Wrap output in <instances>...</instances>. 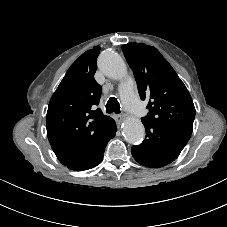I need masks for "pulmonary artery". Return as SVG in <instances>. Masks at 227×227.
Here are the masks:
<instances>
[{
    "label": "pulmonary artery",
    "mask_w": 227,
    "mask_h": 227,
    "mask_svg": "<svg viewBox=\"0 0 227 227\" xmlns=\"http://www.w3.org/2000/svg\"><path fill=\"white\" fill-rule=\"evenodd\" d=\"M120 95L122 97L126 109L130 113L136 116H142L146 113L145 106L138 99V97L133 91V79L131 77H128L120 85Z\"/></svg>",
    "instance_id": "pulmonary-artery-1"
}]
</instances>
